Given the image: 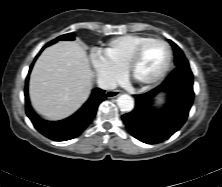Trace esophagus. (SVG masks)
I'll use <instances>...</instances> for the list:
<instances>
[{"label": "esophagus", "mask_w": 222, "mask_h": 187, "mask_svg": "<svg viewBox=\"0 0 222 187\" xmlns=\"http://www.w3.org/2000/svg\"><path fill=\"white\" fill-rule=\"evenodd\" d=\"M120 95V91L118 90H109L106 92L107 98H115Z\"/></svg>", "instance_id": "obj_1"}]
</instances>
